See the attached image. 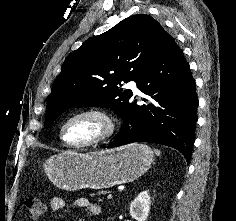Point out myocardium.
I'll return each instance as SVG.
<instances>
[{"label":"myocardium","instance_id":"f54148a6","mask_svg":"<svg viewBox=\"0 0 236 221\" xmlns=\"http://www.w3.org/2000/svg\"><path fill=\"white\" fill-rule=\"evenodd\" d=\"M87 115H93V116H97V117L101 118L106 124L105 132L101 136H99L87 143L71 144V143L67 142V140L65 138V134H64L67 125L70 122H72L73 120H75L79 117H82V116H87ZM117 129H118L117 120L113 114H111L108 110L103 109V108L91 107V108H86V109L80 110V111L72 114L71 116H69L61 125L59 135H60V139L63 142V144L65 146H67L68 148L87 149V148L97 146V145H100V144H103V143L109 141L110 139H112L115 136Z\"/></svg>","mask_w":236,"mask_h":221}]
</instances>
